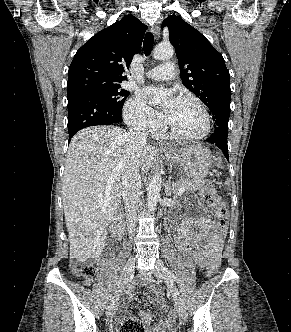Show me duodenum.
<instances>
[{
    "instance_id": "410a0bca",
    "label": "duodenum",
    "mask_w": 291,
    "mask_h": 332,
    "mask_svg": "<svg viewBox=\"0 0 291 332\" xmlns=\"http://www.w3.org/2000/svg\"><path fill=\"white\" fill-rule=\"evenodd\" d=\"M111 231L113 236L116 239H121L124 233V216L123 214H118L116 218L114 219Z\"/></svg>"
}]
</instances>
